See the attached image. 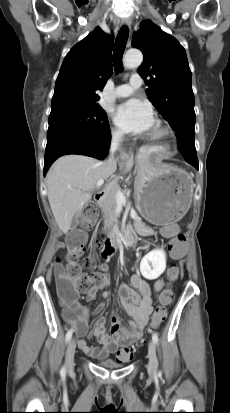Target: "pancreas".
Masks as SVG:
<instances>
[{"instance_id": "pancreas-1", "label": "pancreas", "mask_w": 230, "mask_h": 413, "mask_svg": "<svg viewBox=\"0 0 230 413\" xmlns=\"http://www.w3.org/2000/svg\"><path fill=\"white\" fill-rule=\"evenodd\" d=\"M121 191L117 183H112L111 187L106 191L103 198L99 202V206L103 212L105 222L112 223L116 218V192ZM134 226L136 230L144 235H153L155 232L145 226V223L141 221L139 217L134 219ZM140 228H143L145 231H141Z\"/></svg>"}]
</instances>
